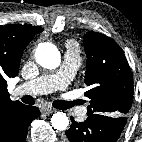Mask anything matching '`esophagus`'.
I'll return each instance as SVG.
<instances>
[{
	"instance_id": "esophagus-1",
	"label": "esophagus",
	"mask_w": 142,
	"mask_h": 142,
	"mask_svg": "<svg viewBox=\"0 0 142 142\" xmlns=\"http://www.w3.org/2000/svg\"><path fill=\"white\" fill-rule=\"evenodd\" d=\"M54 111L55 110L53 108H51V107H43V109H42V113H44V114H51Z\"/></svg>"
}]
</instances>
